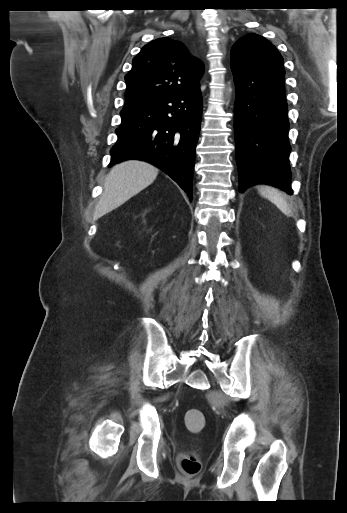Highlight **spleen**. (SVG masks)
Instances as JSON below:
<instances>
[{
	"label": "spleen",
	"mask_w": 347,
	"mask_h": 513,
	"mask_svg": "<svg viewBox=\"0 0 347 513\" xmlns=\"http://www.w3.org/2000/svg\"><path fill=\"white\" fill-rule=\"evenodd\" d=\"M259 193L262 197L267 198L274 203L284 214L288 216L291 214V209L287 201L277 189L270 186H261L259 188Z\"/></svg>",
	"instance_id": "spleen-1"
}]
</instances>
